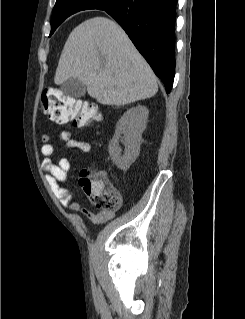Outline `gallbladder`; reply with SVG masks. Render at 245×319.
I'll list each match as a JSON object with an SVG mask.
<instances>
[{"mask_svg": "<svg viewBox=\"0 0 245 319\" xmlns=\"http://www.w3.org/2000/svg\"><path fill=\"white\" fill-rule=\"evenodd\" d=\"M64 94L72 98H80L86 94V86L77 78H70L62 83Z\"/></svg>", "mask_w": 245, "mask_h": 319, "instance_id": "obj_1", "label": "gallbladder"}]
</instances>
